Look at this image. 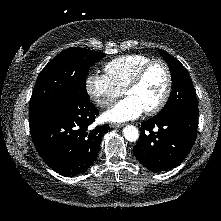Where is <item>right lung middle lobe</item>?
<instances>
[{"label": "right lung middle lobe", "instance_id": "dd1d6c3e", "mask_svg": "<svg viewBox=\"0 0 221 221\" xmlns=\"http://www.w3.org/2000/svg\"><path fill=\"white\" fill-rule=\"evenodd\" d=\"M105 53L68 48L53 58L41 71L31 99L29 120L60 102L87 103L86 75L89 68Z\"/></svg>", "mask_w": 221, "mask_h": 221}]
</instances>
